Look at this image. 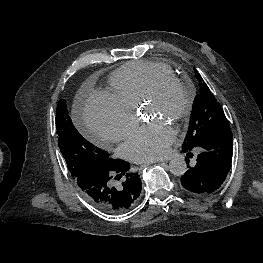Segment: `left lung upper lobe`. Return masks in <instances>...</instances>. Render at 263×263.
I'll use <instances>...</instances> for the list:
<instances>
[{
	"mask_svg": "<svg viewBox=\"0 0 263 263\" xmlns=\"http://www.w3.org/2000/svg\"><path fill=\"white\" fill-rule=\"evenodd\" d=\"M195 72L200 83V92L195 98L188 132L182 145V149L188 150L196 147L199 142L216 129L230 128L221 105L207 84L203 82L197 70Z\"/></svg>",
	"mask_w": 263,
	"mask_h": 263,
	"instance_id": "obj_1",
	"label": "left lung upper lobe"
}]
</instances>
